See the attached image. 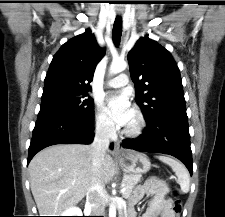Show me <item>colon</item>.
<instances>
[{
	"instance_id": "obj_1",
	"label": "colon",
	"mask_w": 225,
	"mask_h": 217,
	"mask_svg": "<svg viewBox=\"0 0 225 217\" xmlns=\"http://www.w3.org/2000/svg\"><path fill=\"white\" fill-rule=\"evenodd\" d=\"M171 206L175 217H179L182 211L181 201L177 197H175L174 200L171 202Z\"/></svg>"
}]
</instances>
